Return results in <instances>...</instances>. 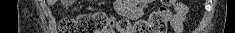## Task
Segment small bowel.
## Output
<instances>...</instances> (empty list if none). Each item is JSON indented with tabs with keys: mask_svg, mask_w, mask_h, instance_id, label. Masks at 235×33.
I'll list each match as a JSON object with an SVG mask.
<instances>
[{
	"mask_svg": "<svg viewBox=\"0 0 235 33\" xmlns=\"http://www.w3.org/2000/svg\"><path fill=\"white\" fill-rule=\"evenodd\" d=\"M147 1L141 0L136 1L133 5H130L128 3H121L119 5V8L122 11H128L130 9H135L136 11H141ZM174 15L171 17L170 24L174 30L175 33H182L184 22L186 20V15L188 12V8L181 2H174ZM106 33H115L114 31L110 30Z\"/></svg>",
	"mask_w": 235,
	"mask_h": 33,
	"instance_id": "1",
	"label": "small bowel"
}]
</instances>
